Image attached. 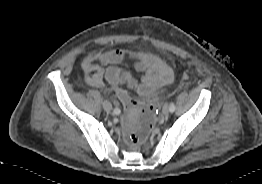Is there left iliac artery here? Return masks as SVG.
<instances>
[{
  "label": "left iliac artery",
  "instance_id": "obj_1",
  "mask_svg": "<svg viewBox=\"0 0 262 184\" xmlns=\"http://www.w3.org/2000/svg\"><path fill=\"white\" fill-rule=\"evenodd\" d=\"M175 104L174 103H171L170 106H169V110L170 112H174L175 111Z\"/></svg>",
  "mask_w": 262,
  "mask_h": 184
}]
</instances>
